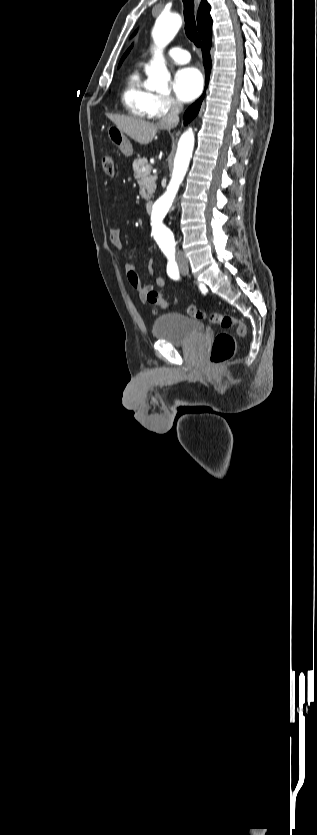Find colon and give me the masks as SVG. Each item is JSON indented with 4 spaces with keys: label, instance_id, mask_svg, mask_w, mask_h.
Here are the masks:
<instances>
[{
    "label": "colon",
    "instance_id": "5ec220e1",
    "mask_svg": "<svg viewBox=\"0 0 317 835\" xmlns=\"http://www.w3.org/2000/svg\"><path fill=\"white\" fill-rule=\"evenodd\" d=\"M102 167L106 175L114 176L116 173V164L112 156L104 155L102 157ZM146 299L151 304L166 309L169 306V301L157 290H149L145 294ZM187 314L195 319H208L211 323L220 326L223 329L236 328V336L229 333H219L215 336L209 362L212 366H218L229 360L236 351V338H242L247 333L246 325L237 318L221 313L207 314L196 305H188L186 308Z\"/></svg>",
    "mask_w": 317,
    "mask_h": 835
}]
</instances>
